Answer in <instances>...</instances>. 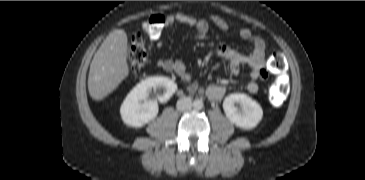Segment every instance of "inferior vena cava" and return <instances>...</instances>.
Wrapping results in <instances>:
<instances>
[{
  "mask_svg": "<svg viewBox=\"0 0 365 180\" xmlns=\"http://www.w3.org/2000/svg\"><path fill=\"white\" fill-rule=\"evenodd\" d=\"M176 107L179 111L189 110L192 107V100L189 97H182L177 101Z\"/></svg>",
  "mask_w": 365,
  "mask_h": 180,
  "instance_id": "1",
  "label": "inferior vena cava"
}]
</instances>
